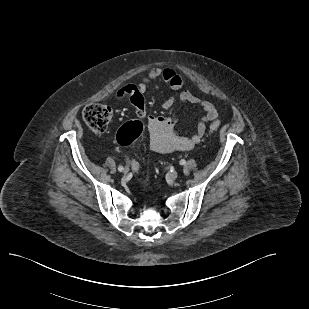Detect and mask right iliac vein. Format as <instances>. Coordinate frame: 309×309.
I'll list each match as a JSON object with an SVG mask.
<instances>
[{"label": "right iliac vein", "instance_id": "obj_1", "mask_svg": "<svg viewBox=\"0 0 309 309\" xmlns=\"http://www.w3.org/2000/svg\"><path fill=\"white\" fill-rule=\"evenodd\" d=\"M128 172H129V169L127 167L123 169L124 174H127Z\"/></svg>", "mask_w": 309, "mask_h": 309}]
</instances>
